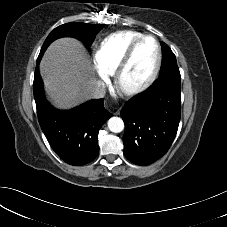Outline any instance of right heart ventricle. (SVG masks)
<instances>
[{
    "label": "right heart ventricle",
    "mask_w": 227,
    "mask_h": 227,
    "mask_svg": "<svg viewBox=\"0 0 227 227\" xmlns=\"http://www.w3.org/2000/svg\"><path fill=\"white\" fill-rule=\"evenodd\" d=\"M141 35L138 31L122 30L106 36L95 52L99 66L108 74H113L130 44Z\"/></svg>",
    "instance_id": "e07e8e85"
}]
</instances>
